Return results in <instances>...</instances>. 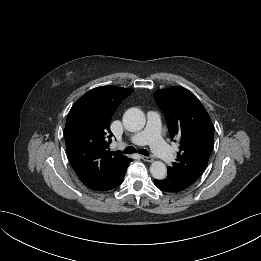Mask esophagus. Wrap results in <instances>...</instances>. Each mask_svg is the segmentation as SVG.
<instances>
[{"label":"esophagus","mask_w":261,"mask_h":261,"mask_svg":"<svg viewBox=\"0 0 261 261\" xmlns=\"http://www.w3.org/2000/svg\"><path fill=\"white\" fill-rule=\"evenodd\" d=\"M141 158L146 162H153V157L151 156H141Z\"/></svg>","instance_id":"obj_1"}]
</instances>
